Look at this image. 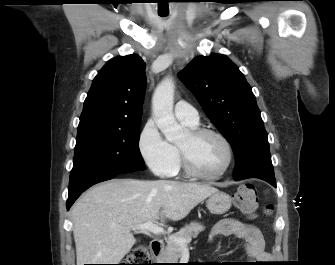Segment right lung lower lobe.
<instances>
[{"label": "right lung lower lobe", "instance_id": "1", "mask_svg": "<svg viewBox=\"0 0 335 265\" xmlns=\"http://www.w3.org/2000/svg\"><path fill=\"white\" fill-rule=\"evenodd\" d=\"M118 173L114 172H99V173H94L91 175H88L77 182L69 185V196L67 200V210L70 209L72 204L75 202V200L90 186L105 181L109 180L115 177Z\"/></svg>", "mask_w": 335, "mask_h": 265}]
</instances>
